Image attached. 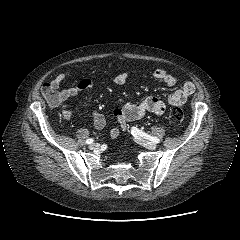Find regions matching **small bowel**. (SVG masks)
Returning <instances> with one entry per match:
<instances>
[{
  "instance_id": "small-bowel-1",
  "label": "small bowel",
  "mask_w": 240,
  "mask_h": 240,
  "mask_svg": "<svg viewBox=\"0 0 240 240\" xmlns=\"http://www.w3.org/2000/svg\"><path fill=\"white\" fill-rule=\"evenodd\" d=\"M68 76V72H63L57 75L51 81L47 82L57 97L58 104L55 106H58L65 102L68 98L76 96L80 92L91 89L93 87V82L90 79L85 78L79 80L73 86L59 89L61 83ZM153 77L157 80L162 81L169 87L175 86L177 83V77L164 69H156L153 72ZM127 78V73L116 75L113 78V83L116 85H123L126 82ZM194 91V84L190 81H185L180 88L176 89L173 93L163 98L150 96L141 102H129L124 104L121 108H117L113 111V117L117 125L111 129L110 136L112 138H117L121 131L127 130V122L140 119L147 112L153 113L155 115H162L165 112L167 106L179 107L184 105L188 97L192 95ZM61 114L62 117L66 120H70L72 118V111L68 108H64ZM92 118L95 128L102 129L105 126L106 119L104 115L99 111L94 110L92 112Z\"/></svg>"
}]
</instances>
